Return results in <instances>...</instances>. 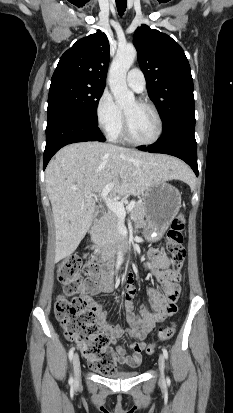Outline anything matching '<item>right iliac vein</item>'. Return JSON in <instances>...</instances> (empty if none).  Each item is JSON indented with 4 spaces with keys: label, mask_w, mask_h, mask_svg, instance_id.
Masks as SVG:
<instances>
[{
    "label": "right iliac vein",
    "mask_w": 233,
    "mask_h": 413,
    "mask_svg": "<svg viewBox=\"0 0 233 413\" xmlns=\"http://www.w3.org/2000/svg\"><path fill=\"white\" fill-rule=\"evenodd\" d=\"M73 368H74V381L76 384H78L81 379V367H80V360H79L78 354L74 355Z\"/></svg>",
    "instance_id": "obj_1"
}]
</instances>
